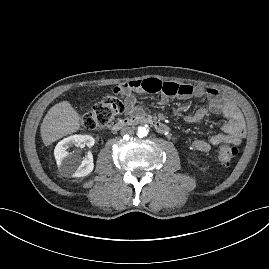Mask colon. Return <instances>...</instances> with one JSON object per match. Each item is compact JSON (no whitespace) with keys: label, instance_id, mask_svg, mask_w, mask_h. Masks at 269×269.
I'll list each match as a JSON object with an SVG mask.
<instances>
[{"label":"colon","instance_id":"1","mask_svg":"<svg viewBox=\"0 0 269 269\" xmlns=\"http://www.w3.org/2000/svg\"><path fill=\"white\" fill-rule=\"evenodd\" d=\"M125 97L126 93L116 88L112 94L106 95L100 102L81 116V125L88 130L107 126L124 110ZM237 154L238 148L236 146L222 143L216 149L215 158L219 163L228 165Z\"/></svg>","mask_w":269,"mask_h":269}]
</instances>
